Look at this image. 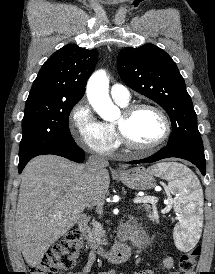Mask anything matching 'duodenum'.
Returning a JSON list of instances; mask_svg holds the SVG:
<instances>
[{
  "label": "duodenum",
  "mask_w": 215,
  "mask_h": 274,
  "mask_svg": "<svg viewBox=\"0 0 215 274\" xmlns=\"http://www.w3.org/2000/svg\"><path fill=\"white\" fill-rule=\"evenodd\" d=\"M77 228L84 237L88 247L95 253L99 254L110 263L121 264L128 260L131 254V247L126 242L115 244L110 250H105L91 238L88 232V218L83 215L78 219Z\"/></svg>",
  "instance_id": "410a0bca"
}]
</instances>
